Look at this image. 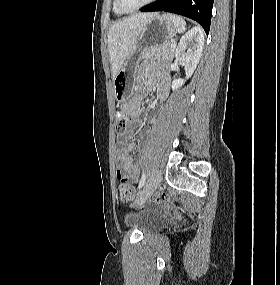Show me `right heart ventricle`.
<instances>
[{
  "label": "right heart ventricle",
  "mask_w": 280,
  "mask_h": 285,
  "mask_svg": "<svg viewBox=\"0 0 280 285\" xmlns=\"http://www.w3.org/2000/svg\"><path fill=\"white\" fill-rule=\"evenodd\" d=\"M113 11L117 14V15H122L124 14L123 12H121L117 6H116V3H115V0L113 1Z\"/></svg>",
  "instance_id": "right-heart-ventricle-1"
}]
</instances>
